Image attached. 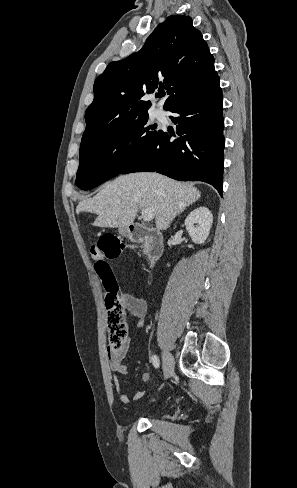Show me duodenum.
Listing matches in <instances>:
<instances>
[{
	"mask_svg": "<svg viewBox=\"0 0 297 488\" xmlns=\"http://www.w3.org/2000/svg\"><path fill=\"white\" fill-rule=\"evenodd\" d=\"M126 235L132 242L143 244L150 265L161 258L164 243L160 232L141 224H131L126 228Z\"/></svg>",
	"mask_w": 297,
	"mask_h": 488,
	"instance_id": "410a0bca",
	"label": "duodenum"
}]
</instances>
